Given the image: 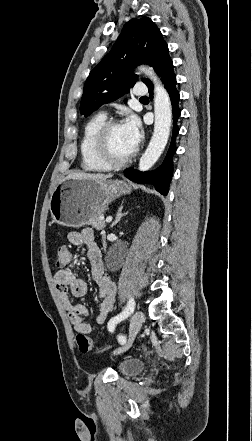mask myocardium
<instances>
[{
    "label": "myocardium",
    "mask_w": 252,
    "mask_h": 441,
    "mask_svg": "<svg viewBox=\"0 0 252 441\" xmlns=\"http://www.w3.org/2000/svg\"><path fill=\"white\" fill-rule=\"evenodd\" d=\"M122 125L118 120H106L96 131L93 138V152L98 160H100L109 169H119L126 166L133 158L134 152L121 160H114L107 148V137L110 131Z\"/></svg>",
    "instance_id": "myocardium-1"
}]
</instances>
